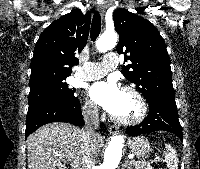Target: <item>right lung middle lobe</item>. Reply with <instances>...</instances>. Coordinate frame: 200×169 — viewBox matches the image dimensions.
Instances as JSON below:
<instances>
[{
    "label": "right lung middle lobe",
    "instance_id": "right-lung-middle-lobe-1",
    "mask_svg": "<svg viewBox=\"0 0 200 169\" xmlns=\"http://www.w3.org/2000/svg\"><path fill=\"white\" fill-rule=\"evenodd\" d=\"M75 89L68 87L65 79L47 80L31 86L29 106L41 103H60L69 105L76 100Z\"/></svg>",
    "mask_w": 200,
    "mask_h": 169
}]
</instances>
